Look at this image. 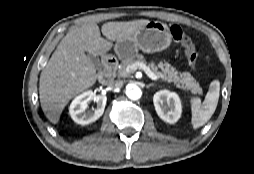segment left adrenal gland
<instances>
[{"label": "left adrenal gland", "mask_w": 254, "mask_h": 174, "mask_svg": "<svg viewBox=\"0 0 254 174\" xmlns=\"http://www.w3.org/2000/svg\"><path fill=\"white\" fill-rule=\"evenodd\" d=\"M151 86H154V84L151 83V84L147 85V88H150Z\"/></svg>", "instance_id": "a2214340"}]
</instances>
